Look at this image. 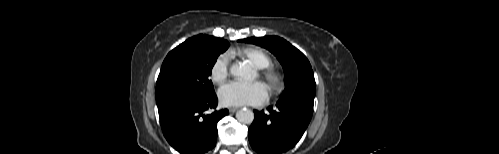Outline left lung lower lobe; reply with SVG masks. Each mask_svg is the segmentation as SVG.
I'll list each match as a JSON object with an SVG mask.
<instances>
[{"label": "left lung lower lobe", "mask_w": 499, "mask_h": 154, "mask_svg": "<svg viewBox=\"0 0 499 154\" xmlns=\"http://www.w3.org/2000/svg\"><path fill=\"white\" fill-rule=\"evenodd\" d=\"M313 95L295 94L278 100L268 111H256L249 128L251 147L260 154H280L293 148L313 114Z\"/></svg>", "instance_id": "left-lung-lower-lobe-1"}]
</instances>
